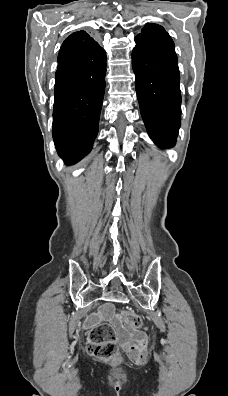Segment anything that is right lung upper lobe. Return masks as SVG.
Returning a JSON list of instances; mask_svg holds the SVG:
<instances>
[{
  "instance_id": "obj_1",
  "label": "right lung upper lobe",
  "mask_w": 228,
  "mask_h": 396,
  "mask_svg": "<svg viewBox=\"0 0 228 396\" xmlns=\"http://www.w3.org/2000/svg\"><path fill=\"white\" fill-rule=\"evenodd\" d=\"M73 44L77 50H92L97 42L92 38L90 33L83 30L71 34L65 41Z\"/></svg>"
}]
</instances>
